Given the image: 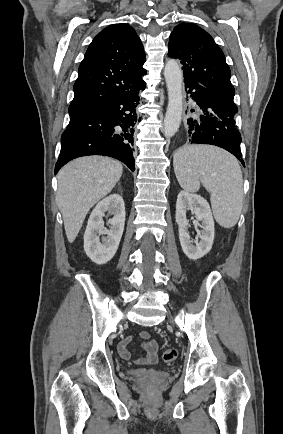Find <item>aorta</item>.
Returning <instances> with one entry per match:
<instances>
[{
	"instance_id": "1",
	"label": "aorta",
	"mask_w": 283,
	"mask_h": 434,
	"mask_svg": "<svg viewBox=\"0 0 283 434\" xmlns=\"http://www.w3.org/2000/svg\"><path fill=\"white\" fill-rule=\"evenodd\" d=\"M164 76L168 91L164 135L172 137L180 127L183 111V73L180 64L174 59H169L165 65Z\"/></svg>"
}]
</instances>
